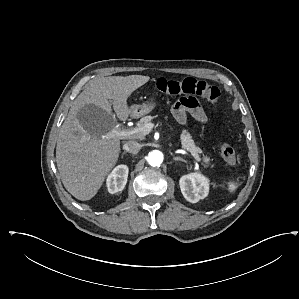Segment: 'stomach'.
<instances>
[{"label":"stomach","mask_w":299,"mask_h":299,"mask_svg":"<svg viewBox=\"0 0 299 299\" xmlns=\"http://www.w3.org/2000/svg\"><path fill=\"white\" fill-rule=\"evenodd\" d=\"M156 106V102L153 99H149L146 103L141 105L135 104L130 107V116L132 118H140L148 113H150L154 107Z\"/></svg>","instance_id":"1"}]
</instances>
